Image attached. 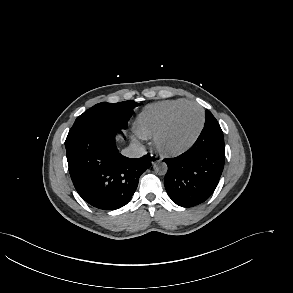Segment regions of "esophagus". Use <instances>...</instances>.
Listing matches in <instances>:
<instances>
[{
    "label": "esophagus",
    "mask_w": 293,
    "mask_h": 293,
    "mask_svg": "<svg viewBox=\"0 0 293 293\" xmlns=\"http://www.w3.org/2000/svg\"><path fill=\"white\" fill-rule=\"evenodd\" d=\"M160 161H161V158L159 156H157V155H151L150 156V162H151L152 165L155 164V163H158Z\"/></svg>",
    "instance_id": "34e87169"
}]
</instances>
